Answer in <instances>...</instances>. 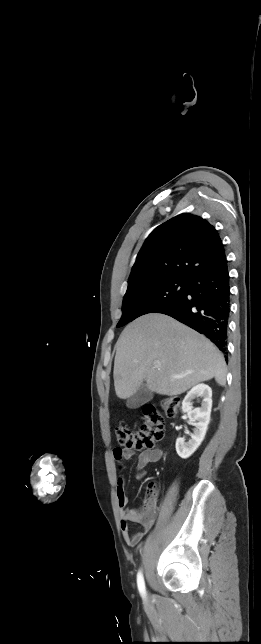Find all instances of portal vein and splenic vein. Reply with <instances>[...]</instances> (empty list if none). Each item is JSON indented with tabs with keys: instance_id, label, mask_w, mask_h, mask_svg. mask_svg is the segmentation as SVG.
I'll return each mask as SVG.
<instances>
[{
	"instance_id": "18ae733b",
	"label": "portal vein and splenic vein",
	"mask_w": 261,
	"mask_h": 644,
	"mask_svg": "<svg viewBox=\"0 0 261 644\" xmlns=\"http://www.w3.org/2000/svg\"><path fill=\"white\" fill-rule=\"evenodd\" d=\"M154 366H155V368H159L161 366V363L157 361V362L154 363ZM179 377L180 376H175V378H179Z\"/></svg>"
}]
</instances>
